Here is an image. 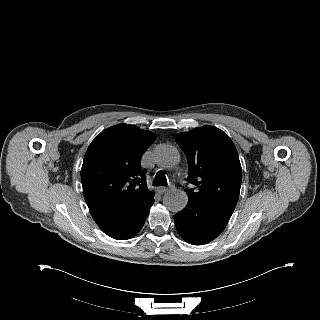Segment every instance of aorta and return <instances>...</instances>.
Returning <instances> with one entry per match:
<instances>
[{"label": "aorta", "instance_id": "1", "mask_svg": "<svg viewBox=\"0 0 320 320\" xmlns=\"http://www.w3.org/2000/svg\"><path fill=\"white\" fill-rule=\"evenodd\" d=\"M154 160L160 167L170 169L179 163L180 155L174 146L161 144L154 151ZM187 201V194L181 190L168 191L163 198L164 205L172 212H179L184 209Z\"/></svg>", "mask_w": 320, "mask_h": 320}]
</instances>
